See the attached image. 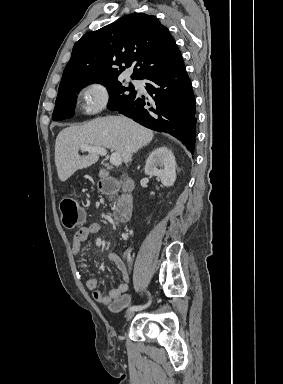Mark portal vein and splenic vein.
I'll list each match as a JSON object with an SVG mask.
<instances>
[{
    "label": "portal vein and splenic vein",
    "mask_w": 283,
    "mask_h": 384,
    "mask_svg": "<svg viewBox=\"0 0 283 384\" xmlns=\"http://www.w3.org/2000/svg\"><path fill=\"white\" fill-rule=\"evenodd\" d=\"M81 152H96V154H100V156H106L107 150L105 148H94V146H89V144H82L80 146ZM122 160L120 154H111L110 158V164H113V166H120Z\"/></svg>",
    "instance_id": "1"
}]
</instances>
